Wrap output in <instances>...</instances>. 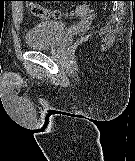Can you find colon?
I'll return each mask as SVG.
<instances>
[{
  "label": "colon",
  "mask_w": 135,
  "mask_h": 161,
  "mask_svg": "<svg viewBox=\"0 0 135 161\" xmlns=\"http://www.w3.org/2000/svg\"><path fill=\"white\" fill-rule=\"evenodd\" d=\"M28 8L30 13L41 19H51V18H61L62 16H68V15H77V16H85L90 14V9L86 5H79L75 7L73 10H71L68 13L61 12L59 10H51L48 8H45L37 3H34L33 1L28 0Z\"/></svg>",
  "instance_id": "obj_1"
}]
</instances>
